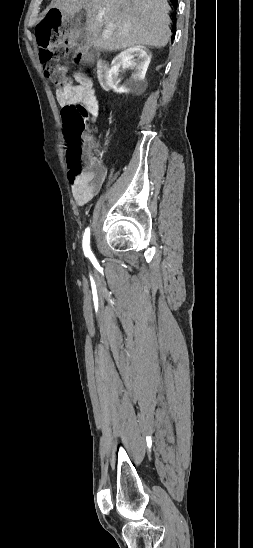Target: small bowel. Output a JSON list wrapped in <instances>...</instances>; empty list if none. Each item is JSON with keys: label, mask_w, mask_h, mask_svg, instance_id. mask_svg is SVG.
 <instances>
[{"label": "small bowel", "mask_w": 253, "mask_h": 548, "mask_svg": "<svg viewBox=\"0 0 253 548\" xmlns=\"http://www.w3.org/2000/svg\"><path fill=\"white\" fill-rule=\"evenodd\" d=\"M75 85H68L56 91V99L59 105L82 104L86 106L95 123L99 117L100 105L97 99L93 83L90 78L82 73H74ZM98 176L85 174L77 180H71V191L76 203L80 206L88 203L101 189L105 178L106 169L100 166Z\"/></svg>", "instance_id": "1"}]
</instances>
